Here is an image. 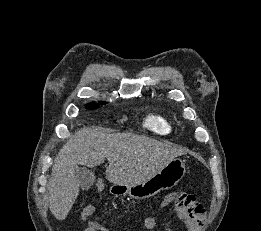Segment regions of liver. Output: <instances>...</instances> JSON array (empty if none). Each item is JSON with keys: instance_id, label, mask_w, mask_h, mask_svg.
Segmentation results:
<instances>
[{"instance_id": "6515ba94", "label": "liver", "mask_w": 261, "mask_h": 231, "mask_svg": "<svg viewBox=\"0 0 261 231\" xmlns=\"http://www.w3.org/2000/svg\"><path fill=\"white\" fill-rule=\"evenodd\" d=\"M185 152L169 142L133 133L107 134L99 128L77 131L59 151L48 182L49 208L57 220H65L80 191L78 165L109 166L106 178L118 185L141 183Z\"/></svg>"}]
</instances>
